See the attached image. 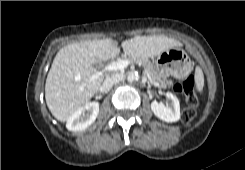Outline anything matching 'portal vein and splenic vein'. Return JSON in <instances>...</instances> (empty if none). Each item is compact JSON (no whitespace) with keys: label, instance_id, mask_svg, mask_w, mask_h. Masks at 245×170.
Returning a JSON list of instances; mask_svg holds the SVG:
<instances>
[{"label":"portal vein and splenic vein","instance_id":"1","mask_svg":"<svg viewBox=\"0 0 245 170\" xmlns=\"http://www.w3.org/2000/svg\"><path fill=\"white\" fill-rule=\"evenodd\" d=\"M129 63H130L129 60H120L116 62H111L107 66H105L101 72H98L95 75H93L92 79L97 78L105 71L124 70L129 65Z\"/></svg>","mask_w":245,"mask_h":170}]
</instances>
